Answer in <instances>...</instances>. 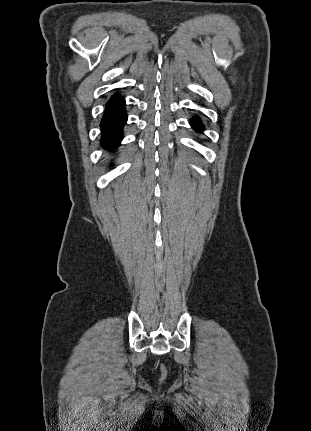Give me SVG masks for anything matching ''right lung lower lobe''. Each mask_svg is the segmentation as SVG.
Instances as JSON below:
<instances>
[{"mask_svg":"<svg viewBox=\"0 0 311 431\" xmlns=\"http://www.w3.org/2000/svg\"><path fill=\"white\" fill-rule=\"evenodd\" d=\"M125 100L115 94L107 103L105 114L101 121L102 144L105 148H113L119 144L123 135L122 128L127 121Z\"/></svg>","mask_w":311,"mask_h":431,"instance_id":"98d812e1","label":"right lung lower lobe"}]
</instances>
